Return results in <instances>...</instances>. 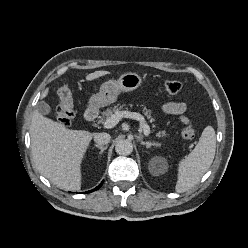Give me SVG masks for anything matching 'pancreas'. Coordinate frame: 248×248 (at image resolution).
<instances>
[{
  "mask_svg": "<svg viewBox=\"0 0 248 248\" xmlns=\"http://www.w3.org/2000/svg\"><path fill=\"white\" fill-rule=\"evenodd\" d=\"M124 105H115L113 108H107L106 111L102 112V116L99 117L98 123H103L105 119H108L111 117V115H113L115 112L119 111V109H122ZM144 115L150 119V122H154V119L151 117V110H147L146 108L143 109ZM153 127H155V125H153ZM166 132L165 131H161L159 133H157L158 137H164L166 136Z\"/></svg>",
  "mask_w": 248,
  "mask_h": 248,
  "instance_id": "cf45deb5",
  "label": "pancreas"
}]
</instances>
